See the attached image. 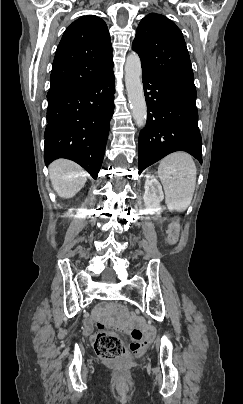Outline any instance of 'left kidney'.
Masks as SVG:
<instances>
[{
    "mask_svg": "<svg viewBox=\"0 0 243 404\" xmlns=\"http://www.w3.org/2000/svg\"><path fill=\"white\" fill-rule=\"evenodd\" d=\"M144 188L145 194L143 196V200L147 214H150V216L156 214V216L160 218V214L163 210L160 202L164 200L161 184H159L156 178L150 176V178H147Z\"/></svg>",
    "mask_w": 243,
    "mask_h": 404,
    "instance_id": "left-kidney-1",
    "label": "left kidney"
}]
</instances>
